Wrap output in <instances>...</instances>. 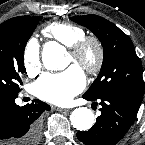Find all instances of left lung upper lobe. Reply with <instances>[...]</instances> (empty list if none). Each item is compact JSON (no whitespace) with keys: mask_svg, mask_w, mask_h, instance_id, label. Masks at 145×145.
Wrapping results in <instances>:
<instances>
[{"mask_svg":"<svg viewBox=\"0 0 145 145\" xmlns=\"http://www.w3.org/2000/svg\"><path fill=\"white\" fill-rule=\"evenodd\" d=\"M71 20L90 29L104 48L101 71L84 95L93 99L128 95L142 101V64L130 38L116 25L97 15L74 16Z\"/></svg>","mask_w":145,"mask_h":145,"instance_id":"obj_1","label":"left lung upper lobe"}]
</instances>
